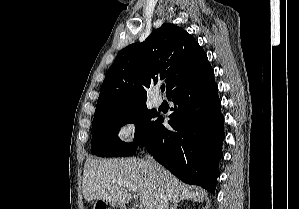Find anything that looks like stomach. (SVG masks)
<instances>
[{"instance_id": "0dacf381", "label": "stomach", "mask_w": 299, "mask_h": 209, "mask_svg": "<svg viewBox=\"0 0 299 209\" xmlns=\"http://www.w3.org/2000/svg\"><path fill=\"white\" fill-rule=\"evenodd\" d=\"M94 209H115V205L107 201L98 199L94 204ZM118 209H125V208L123 206H119Z\"/></svg>"}]
</instances>
